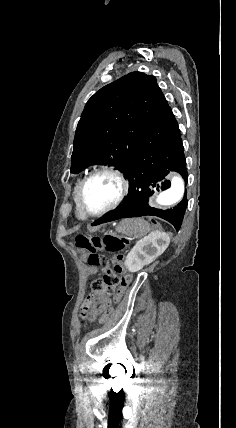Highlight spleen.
<instances>
[{
	"instance_id": "1",
	"label": "spleen",
	"mask_w": 236,
	"mask_h": 428,
	"mask_svg": "<svg viewBox=\"0 0 236 428\" xmlns=\"http://www.w3.org/2000/svg\"><path fill=\"white\" fill-rule=\"evenodd\" d=\"M118 232L126 234V236H134V238H143L150 232V226L143 218H125L120 222Z\"/></svg>"
}]
</instances>
